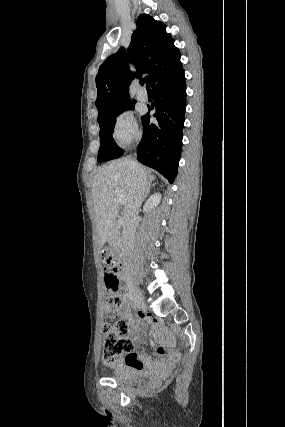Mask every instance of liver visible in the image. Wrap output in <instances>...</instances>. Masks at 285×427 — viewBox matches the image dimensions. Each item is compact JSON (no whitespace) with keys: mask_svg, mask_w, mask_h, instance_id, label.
Segmentation results:
<instances>
[{"mask_svg":"<svg viewBox=\"0 0 285 427\" xmlns=\"http://www.w3.org/2000/svg\"><path fill=\"white\" fill-rule=\"evenodd\" d=\"M143 172L147 185L155 177L151 170L138 164ZM134 189L133 169L130 159L122 158L102 166L96 173L92 184L94 216L98 229L99 245L103 247L119 213L117 195H123L125 205Z\"/></svg>","mask_w":285,"mask_h":427,"instance_id":"6515ba94","label":"liver"}]
</instances>
